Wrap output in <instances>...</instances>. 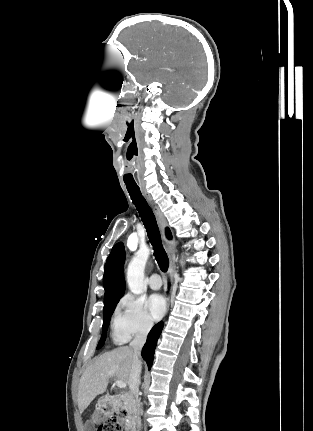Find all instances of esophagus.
I'll list each match as a JSON object with an SVG mask.
<instances>
[{"label": "esophagus", "instance_id": "1", "mask_svg": "<svg viewBox=\"0 0 313 431\" xmlns=\"http://www.w3.org/2000/svg\"><path fill=\"white\" fill-rule=\"evenodd\" d=\"M143 196L145 197L146 201L148 202V204L150 205V207L152 208L155 217L157 219L160 231H161V235L164 241V246L165 249L170 257V268H169V272H170V277L171 280H173V275H174V262L172 259V255L175 252V240L174 239H168L165 235V228L168 226V223L163 215V213L160 211L159 207L157 206V204L155 203V201L152 199V197L147 193V191L142 190Z\"/></svg>", "mask_w": 313, "mask_h": 431}]
</instances>
